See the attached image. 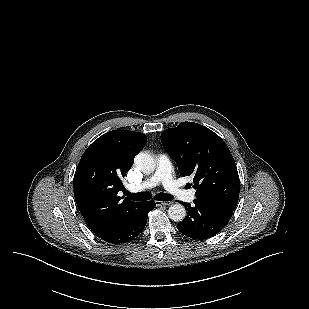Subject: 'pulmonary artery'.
Wrapping results in <instances>:
<instances>
[{"instance_id":"pulmonary-artery-1","label":"pulmonary artery","mask_w":309,"mask_h":309,"mask_svg":"<svg viewBox=\"0 0 309 309\" xmlns=\"http://www.w3.org/2000/svg\"><path fill=\"white\" fill-rule=\"evenodd\" d=\"M160 183L173 197H177L178 199L187 202H193L195 199L194 190H186L178 185L174 180L172 176L171 161L166 154L158 155L157 168L155 172L144 181L133 185L132 189L134 191H143L150 189Z\"/></svg>"}]
</instances>
